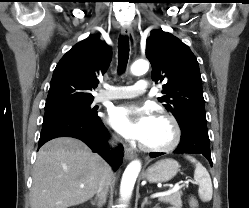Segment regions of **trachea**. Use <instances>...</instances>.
<instances>
[{
    "label": "trachea",
    "instance_id": "3493384b",
    "mask_svg": "<svg viewBox=\"0 0 249 208\" xmlns=\"http://www.w3.org/2000/svg\"><path fill=\"white\" fill-rule=\"evenodd\" d=\"M129 58V39L127 36H120L118 40V72L123 73L126 69Z\"/></svg>",
    "mask_w": 249,
    "mask_h": 208
}]
</instances>
